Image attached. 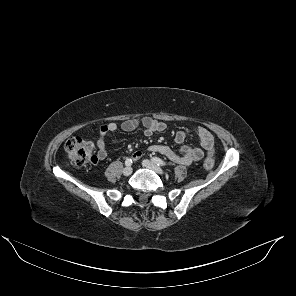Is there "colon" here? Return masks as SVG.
<instances>
[{
    "instance_id": "obj_1",
    "label": "colon",
    "mask_w": 296,
    "mask_h": 296,
    "mask_svg": "<svg viewBox=\"0 0 296 296\" xmlns=\"http://www.w3.org/2000/svg\"><path fill=\"white\" fill-rule=\"evenodd\" d=\"M65 151L68 155L69 162L74 168H82L88 163L97 161L94 155V146L91 142L80 137H72L65 144ZM204 169L211 170L214 166V159L207 157L204 161Z\"/></svg>"
}]
</instances>
